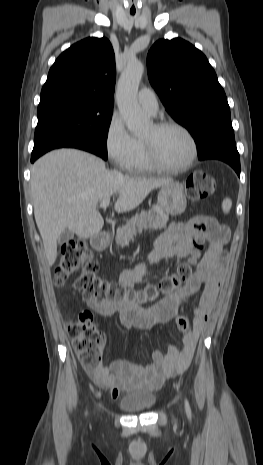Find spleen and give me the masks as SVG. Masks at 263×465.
<instances>
[{"label":"spleen","mask_w":263,"mask_h":465,"mask_svg":"<svg viewBox=\"0 0 263 465\" xmlns=\"http://www.w3.org/2000/svg\"><path fill=\"white\" fill-rule=\"evenodd\" d=\"M232 206V201L229 198H226L222 202V209L224 213H228Z\"/></svg>","instance_id":"1"}]
</instances>
